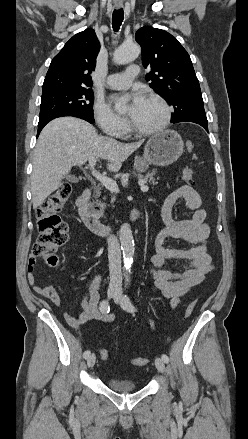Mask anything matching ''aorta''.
Masks as SVG:
<instances>
[{
	"instance_id": "aorta-1",
	"label": "aorta",
	"mask_w": 248,
	"mask_h": 439,
	"mask_svg": "<svg viewBox=\"0 0 248 439\" xmlns=\"http://www.w3.org/2000/svg\"><path fill=\"white\" fill-rule=\"evenodd\" d=\"M140 52L141 49L136 43L123 44L114 52L113 61L118 65L126 64L135 60L139 56ZM119 238L123 253L124 266L126 270H128L132 265L135 252L134 239L129 224L124 223L121 225L119 230Z\"/></svg>"
}]
</instances>
